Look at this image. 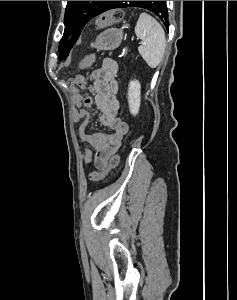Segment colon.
<instances>
[{
    "label": "colon",
    "mask_w": 237,
    "mask_h": 300,
    "mask_svg": "<svg viewBox=\"0 0 237 300\" xmlns=\"http://www.w3.org/2000/svg\"><path fill=\"white\" fill-rule=\"evenodd\" d=\"M123 19V11L120 9H113L104 12L96 20V24L99 27H105L108 25H115L121 22ZM95 61L93 55L85 57L79 64L81 69L91 66ZM72 85H77L79 83V75H74L70 79ZM119 163V156L117 154L111 156L109 159L108 165L98 171L92 172L89 174V179L92 181L100 180L104 178L111 170H113Z\"/></svg>",
    "instance_id": "colon-1"
}]
</instances>
